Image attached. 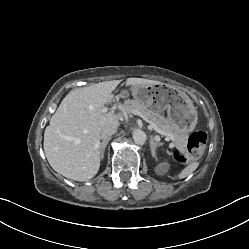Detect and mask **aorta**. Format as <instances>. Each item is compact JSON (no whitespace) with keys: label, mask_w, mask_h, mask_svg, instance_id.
I'll use <instances>...</instances> for the list:
<instances>
[{"label":"aorta","mask_w":249,"mask_h":249,"mask_svg":"<svg viewBox=\"0 0 249 249\" xmlns=\"http://www.w3.org/2000/svg\"><path fill=\"white\" fill-rule=\"evenodd\" d=\"M133 140L136 144L143 145L146 142V133L143 130L135 129L133 131Z\"/></svg>","instance_id":"1"}]
</instances>
